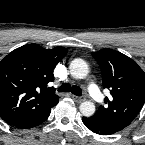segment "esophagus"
Returning a JSON list of instances; mask_svg holds the SVG:
<instances>
[{
  "label": "esophagus",
  "mask_w": 145,
  "mask_h": 145,
  "mask_svg": "<svg viewBox=\"0 0 145 145\" xmlns=\"http://www.w3.org/2000/svg\"><path fill=\"white\" fill-rule=\"evenodd\" d=\"M72 97H73L74 101L77 103H81L85 100V97H82V96L73 95Z\"/></svg>",
  "instance_id": "esophagus-1"
}]
</instances>
